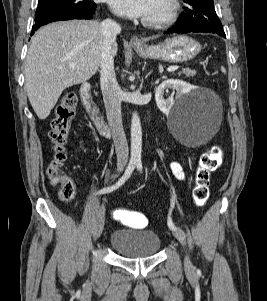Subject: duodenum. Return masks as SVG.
<instances>
[{
    "mask_svg": "<svg viewBox=\"0 0 267 301\" xmlns=\"http://www.w3.org/2000/svg\"><path fill=\"white\" fill-rule=\"evenodd\" d=\"M83 105L101 133L108 131V125L99 113V110L91 96V84L83 82L80 88Z\"/></svg>",
    "mask_w": 267,
    "mask_h": 301,
    "instance_id": "410a0bca",
    "label": "duodenum"
}]
</instances>
